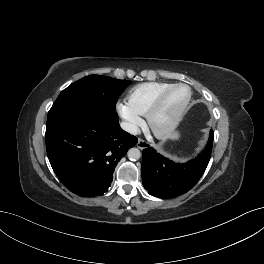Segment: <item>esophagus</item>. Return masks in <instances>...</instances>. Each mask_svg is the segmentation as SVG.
Segmentation results:
<instances>
[{"instance_id": "34e87169", "label": "esophagus", "mask_w": 264, "mask_h": 264, "mask_svg": "<svg viewBox=\"0 0 264 264\" xmlns=\"http://www.w3.org/2000/svg\"><path fill=\"white\" fill-rule=\"evenodd\" d=\"M149 146V143L148 142H146V141H144L143 139H138V142H137V147L139 148V149H145V148H147Z\"/></svg>"}]
</instances>
